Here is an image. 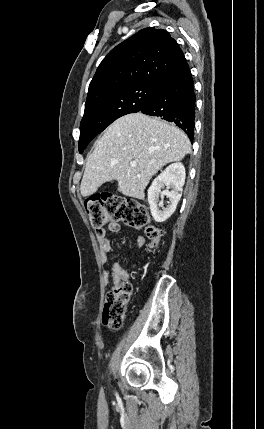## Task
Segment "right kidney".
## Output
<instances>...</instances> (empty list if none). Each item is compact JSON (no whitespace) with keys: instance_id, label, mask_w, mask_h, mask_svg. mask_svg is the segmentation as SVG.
Listing matches in <instances>:
<instances>
[{"instance_id":"1","label":"right kidney","mask_w":264,"mask_h":429,"mask_svg":"<svg viewBox=\"0 0 264 429\" xmlns=\"http://www.w3.org/2000/svg\"><path fill=\"white\" fill-rule=\"evenodd\" d=\"M185 168L181 162L169 165L159 176H157L148 189V203L152 217L156 222L166 221L176 210L182 195V187L185 183ZM166 187V190L161 191ZM171 189V191H169ZM166 196L169 204L164 208L159 197ZM162 207V210H160Z\"/></svg>"}]
</instances>
